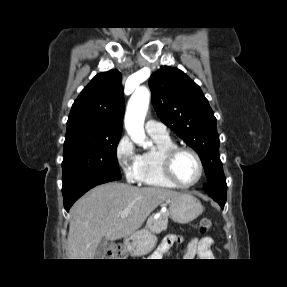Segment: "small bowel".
<instances>
[{
  "label": "small bowel",
  "mask_w": 287,
  "mask_h": 287,
  "mask_svg": "<svg viewBox=\"0 0 287 287\" xmlns=\"http://www.w3.org/2000/svg\"><path fill=\"white\" fill-rule=\"evenodd\" d=\"M183 238L179 235H169L165 237L157 250L154 252V257H162L170 253V249L174 244L181 243ZM214 244V240L210 237L205 238H194L188 244V249L185 254L186 258H193L196 255L200 258L211 257V246Z\"/></svg>",
  "instance_id": "c3829d8e"
}]
</instances>
